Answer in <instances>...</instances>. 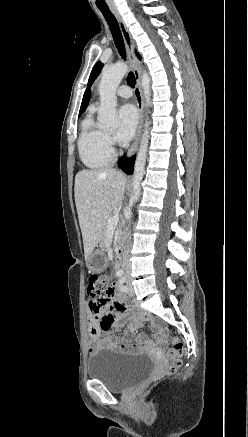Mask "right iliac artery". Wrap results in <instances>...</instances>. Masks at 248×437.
<instances>
[{
    "mask_svg": "<svg viewBox=\"0 0 248 437\" xmlns=\"http://www.w3.org/2000/svg\"><path fill=\"white\" fill-rule=\"evenodd\" d=\"M122 274H123V270H119V271L116 273V275H117L118 277L122 276Z\"/></svg>",
    "mask_w": 248,
    "mask_h": 437,
    "instance_id": "obj_1",
    "label": "right iliac artery"
}]
</instances>
